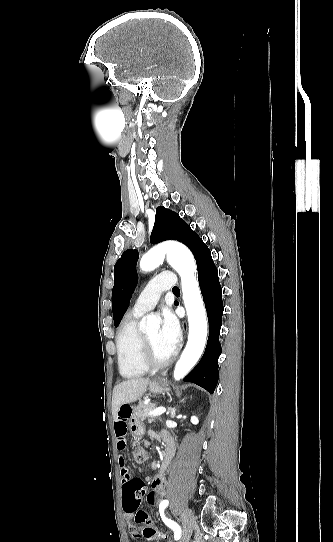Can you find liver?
<instances>
[{
	"label": "liver",
	"instance_id": "liver-1",
	"mask_svg": "<svg viewBox=\"0 0 333 542\" xmlns=\"http://www.w3.org/2000/svg\"><path fill=\"white\" fill-rule=\"evenodd\" d=\"M148 384H150V378H128L115 386L112 396L113 420H117L118 410L122 404H131V402L141 400Z\"/></svg>",
	"mask_w": 333,
	"mask_h": 542
}]
</instances>
